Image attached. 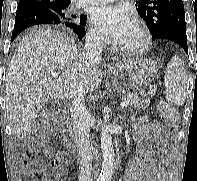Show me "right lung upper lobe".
<instances>
[{
    "label": "right lung upper lobe",
    "instance_id": "right-lung-upper-lobe-1",
    "mask_svg": "<svg viewBox=\"0 0 197 181\" xmlns=\"http://www.w3.org/2000/svg\"><path fill=\"white\" fill-rule=\"evenodd\" d=\"M21 1H27L37 4H54V5H69L70 0H21Z\"/></svg>",
    "mask_w": 197,
    "mask_h": 181
}]
</instances>
